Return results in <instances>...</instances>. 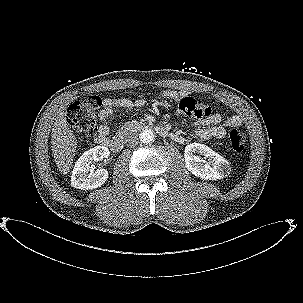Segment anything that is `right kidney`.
<instances>
[{
	"label": "right kidney",
	"mask_w": 303,
	"mask_h": 303,
	"mask_svg": "<svg viewBox=\"0 0 303 303\" xmlns=\"http://www.w3.org/2000/svg\"><path fill=\"white\" fill-rule=\"evenodd\" d=\"M110 152L105 146H96L85 151L75 163L71 175V185L82 190L94 189L102 186L108 179V171L105 169H95L92 164L108 158Z\"/></svg>",
	"instance_id": "1"
}]
</instances>
